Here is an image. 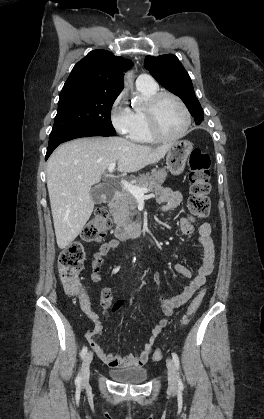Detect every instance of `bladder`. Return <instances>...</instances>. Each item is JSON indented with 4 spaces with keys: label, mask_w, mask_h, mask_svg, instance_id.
Masks as SVG:
<instances>
[{
    "label": "bladder",
    "mask_w": 264,
    "mask_h": 419,
    "mask_svg": "<svg viewBox=\"0 0 264 419\" xmlns=\"http://www.w3.org/2000/svg\"><path fill=\"white\" fill-rule=\"evenodd\" d=\"M108 375L116 382L126 384H140L147 380L148 372L143 367H127L110 369Z\"/></svg>",
    "instance_id": "31cf9c89"
}]
</instances>
